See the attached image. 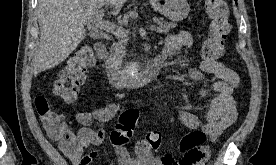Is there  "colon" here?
I'll return each instance as SVG.
<instances>
[{
	"label": "colon",
	"instance_id": "5ec220e1",
	"mask_svg": "<svg viewBox=\"0 0 276 165\" xmlns=\"http://www.w3.org/2000/svg\"><path fill=\"white\" fill-rule=\"evenodd\" d=\"M205 12L210 19L209 31L203 43L201 55L204 60H217L225 50V41L230 32V10L225 0H205ZM94 53L89 46L79 48L69 59L65 68L53 86L54 94L66 102H73L79 94L80 87L85 81V72L93 66ZM36 110L46 122L47 132L57 139L63 149L74 151L78 144L74 135L65 126L60 114L53 111L45 97L35 99ZM139 117L136 109H129L122 113L119 122L110 134V141L115 147H123L131 140ZM43 122V121H42ZM163 139L159 131L149 132L145 139L137 144V150L153 153L162 145ZM206 142V134L201 130H193L185 134L179 143V150L185 156L199 155L200 149Z\"/></svg>",
	"mask_w": 276,
	"mask_h": 165
}]
</instances>
